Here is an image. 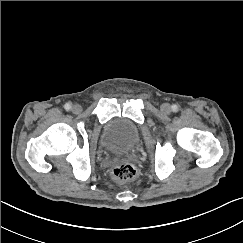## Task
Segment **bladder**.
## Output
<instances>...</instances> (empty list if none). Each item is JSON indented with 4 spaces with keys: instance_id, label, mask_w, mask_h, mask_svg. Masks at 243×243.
<instances>
[{
    "instance_id": "31cf9c89",
    "label": "bladder",
    "mask_w": 243,
    "mask_h": 243,
    "mask_svg": "<svg viewBox=\"0 0 243 243\" xmlns=\"http://www.w3.org/2000/svg\"><path fill=\"white\" fill-rule=\"evenodd\" d=\"M139 141V127L125 117H114L110 119L101 134V144L103 147L117 154L132 149Z\"/></svg>"
}]
</instances>
